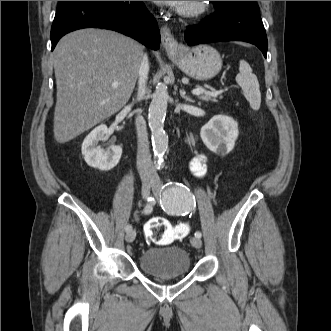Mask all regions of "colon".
Segmentation results:
<instances>
[{
  "label": "colon",
  "instance_id": "colon-1",
  "mask_svg": "<svg viewBox=\"0 0 331 331\" xmlns=\"http://www.w3.org/2000/svg\"><path fill=\"white\" fill-rule=\"evenodd\" d=\"M189 233L187 224L171 225L166 219L156 217L145 226L146 238L158 245H166L173 240L182 239Z\"/></svg>",
  "mask_w": 331,
  "mask_h": 331
}]
</instances>
